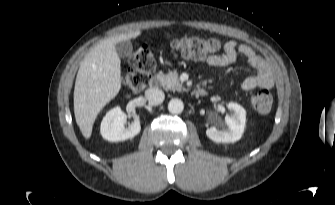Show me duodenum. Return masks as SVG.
<instances>
[{
    "label": "duodenum",
    "mask_w": 335,
    "mask_h": 205,
    "mask_svg": "<svg viewBox=\"0 0 335 205\" xmlns=\"http://www.w3.org/2000/svg\"><path fill=\"white\" fill-rule=\"evenodd\" d=\"M157 83H158L157 78H153V79L151 80V84H152V85H157ZM205 93H206L205 90L202 89V88H198V89L196 90V94H198V95H204Z\"/></svg>",
    "instance_id": "obj_1"
}]
</instances>
